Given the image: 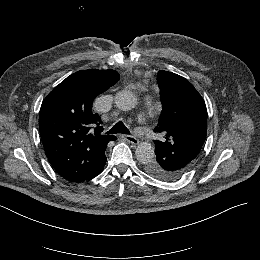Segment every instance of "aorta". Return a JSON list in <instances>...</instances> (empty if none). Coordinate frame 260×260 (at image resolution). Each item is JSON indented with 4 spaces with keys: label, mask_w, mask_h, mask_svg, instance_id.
I'll use <instances>...</instances> for the list:
<instances>
[{
    "label": "aorta",
    "mask_w": 260,
    "mask_h": 260,
    "mask_svg": "<svg viewBox=\"0 0 260 260\" xmlns=\"http://www.w3.org/2000/svg\"><path fill=\"white\" fill-rule=\"evenodd\" d=\"M115 105L123 111L132 110L137 106L135 94L128 90L119 91L114 98ZM137 160L142 164H148L154 159V147L148 142H141L135 150Z\"/></svg>",
    "instance_id": "obj_1"
}]
</instances>
